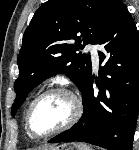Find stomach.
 <instances>
[{
	"label": "stomach",
	"instance_id": "obj_1",
	"mask_svg": "<svg viewBox=\"0 0 139 150\" xmlns=\"http://www.w3.org/2000/svg\"><path fill=\"white\" fill-rule=\"evenodd\" d=\"M45 150H91V149L84 144L68 143L58 147H51Z\"/></svg>",
	"mask_w": 139,
	"mask_h": 150
}]
</instances>
